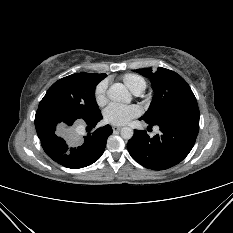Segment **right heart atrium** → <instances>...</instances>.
I'll return each mask as SVG.
<instances>
[{
	"label": "right heart atrium",
	"instance_id": "right-heart-atrium-1",
	"mask_svg": "<svg viewBox=\"0 0 233 233\" xmlns=\"http://www.w3.org/2000/svg\"><path fill=\"white\" fill-rule=\"evenodd\" d=\"M94 99L95 102L99 105L102 106L106 102V85L104 82L99 83L94 91Z\"/></svg>",
	"mask_w": 233,
	"mask_h": 233
}]
</instances>
